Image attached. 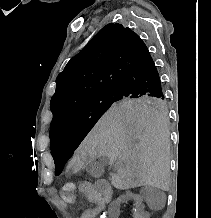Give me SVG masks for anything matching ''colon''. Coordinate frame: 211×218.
<instances>
[{
  "mask_svg": "<svg viewBox=\"0 0 211 218\" xmlns=\"http://www.w3.org/2000/svg\"><path fill=\"white\" fill-rule=\"evenodd\" d=\"M59 198L65 204L73 203L75 199V185L73 183L64 184L60 189Z\"/></svg>",
  "mask_w": 211,
  "mask_h": 218,
  "instance_id": "1",
  "label": "colon"
}]
</instances>
